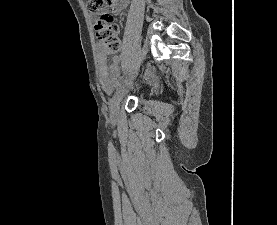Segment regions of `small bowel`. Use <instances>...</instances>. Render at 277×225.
Listing matches in <instances>:
<instances>
[{
    "label": "small bowel",
    "instance_id": "obj_1",
    "mask_svg": "<svg viewBox=\"0 0 277 225\" xmlns=\"http://www.w3.org/2000/svg\"><path fill=\"white\" fill-rule=\"evenodd\" d=\"M127 0H117L114 5L116 12H119L125 8ZM123 60L122 55L113 57L111 63H108V57L106 54L100 52L98 55V75L100 83L105 91H110L112 88L119 85V81L122 78L120 68Z\"/></svg>",
    "mask_w": 277,
    "mask_h": 225
}]
</instances>
